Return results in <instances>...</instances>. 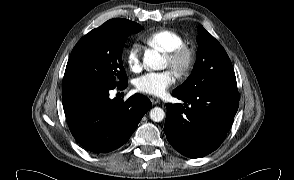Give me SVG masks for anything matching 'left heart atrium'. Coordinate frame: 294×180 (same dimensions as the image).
Segmentation results:
<instances>
[{"label":"left heart atrium","mask_w":294,"mask_h":180,"mask_svg":"<svg viewBox=\"0 0 294 180\" xmlns=\"http://www.w3.org/2000/svg\"><path fill=\"white\" fill-rule=\"evenodd\" d=\"M176 77L171 70L145 73L135 79V88L147 95L161 96L175 83Z\"/></svg>","instance_id":"left-heart-atrium-1"}]
</instances>
